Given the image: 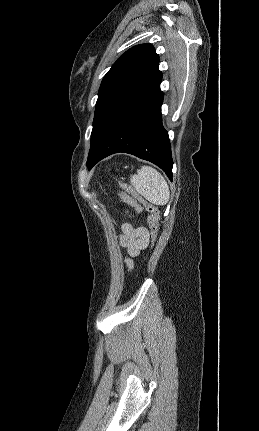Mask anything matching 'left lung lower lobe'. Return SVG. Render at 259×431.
<instances>
[{
    "instance_id": "0a47b994",
    "label": "left lung lower lobe",
    "mask_w": 259,
    "mask_h": 431,
    "mask_svg": "<svg viewBox=\"0 0 259 431\" xmlns=\"http://www.w3.org/2000/svg\"><path fill=\"white\" fill-rule=\"evenodd\" d=\"M162 102L159 85L117 123L87 161L88 168L111 154L124 152L156 164L172 180L173 161L168 132L162 124Z\"/></svg>"
}]
</instances>
